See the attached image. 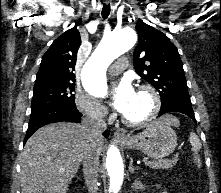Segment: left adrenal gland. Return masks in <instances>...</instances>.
<instances>
[{
  "instance_id": "obj_1",
  "label": "left adrenal gland",
  "mask_w": 221,
  "mask_h": 193,
  "mask_svg": "<svg viewBox=\"0 0 221 193\" xmlns=\"http://www.w3.org/2000/svg\"><path fill=\"white\" fill-rule=\"evenodd\" d=\"M128 169L131 174L135 173V171L139 169L138 167L133 166V159L132 158H130V163H129Z\"/></svg>"
}]
</instances>
